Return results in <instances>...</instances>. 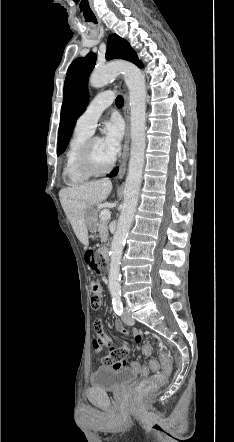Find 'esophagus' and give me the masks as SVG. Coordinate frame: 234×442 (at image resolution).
<instances>
[{
	"label": "esophagus",
	"mask_w": 234,
	"mask_h": 442,
	"mask_svg": "<svg viewBox=\"0 0 234 442\" xmlns=\"http://www.w3.org/2000/svg\"><path fill=\"white\" fill-rule=\"evenodd\" d=\"M124 88V107H123V114L126 122V129H125V137H124V144H123V151L122 156L120 159V163L118 168L115 170L116 173V179H122L126 172L127 162L129 158V146H130V106H129V96L128 92L125 86Z\"/></svg>",
	"instance_id": "34e87169"
}]
</instances>
